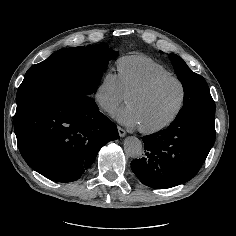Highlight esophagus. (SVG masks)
Wrapping results in <instances>:
<instances>
[{
	"label": "esophagus",
	"instance_id": "obj_1",
	"mask_svg": "<svg viewBox=\"0 0 236 236\" xmlns=\"http://www.w3.org/2000/svg\"><path fill=\"white\" fill-rule=\"evenodd\" d=\"M117 129H118V132H119V136L120 137H125L126 131L124 129H122L120 126H118Z\"/></svg>",
	"mask_w": 236,
	"mask_h": 236
}]
</instances>
